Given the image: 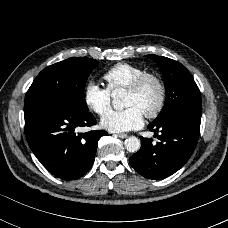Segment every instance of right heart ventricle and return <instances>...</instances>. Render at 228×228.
I'll use <instances>...</instances> for the list:
<instances>
[{
    "instance_id": "obj_1",
    "label": "right heart ventricle",
    "mask_w": 228,
    "mask_h": 228,
    "mask_svg": "<svg viewBox=\"0 0 228 228\" xmlns=\"http://www.w3.org/2000/svg\"><path fill=\"white\" fill-rule=\"evenodd\" d=\"M148 71L130 63H118L105 71L103 77L108 82V89L112 94L119 90H126L136 78Z\"/></svg>"
}]
</instances>
